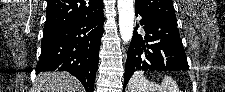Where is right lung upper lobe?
Returning a JSON list of instances; mask_svg holds the SVG:
<instances>
[{"mask_svg":"<svg viewBox=\"0 0 225 92\" xmlns=\"http://www.w3.org/2000/svg\"><path fill=\"white\" fill-rule=\"evenodd\" d=\"M103 0H48L44 33L62 29L103 12Z\"/></svg>","mask_w":225,"mask_h":92,"instance_id":"obj_1","label":"right lung upper lobe"}]
</instances>
